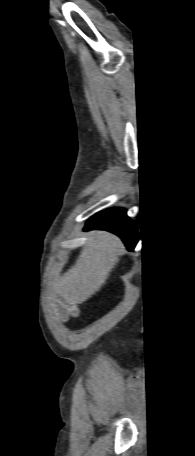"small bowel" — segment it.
Masks as SVG:
<instances>
[{
	"label": "small bowel",
	"instance_id": "obj_1",
	"mask_svg": "<svg viewBox=\"0 0 195 456\" xmlns=\"http://www.w3.org/2000/svg\"><path fill=\"white\" fill-rule=\"evenodd\" d=\"M77 314L76 308L68 302H63L60 304V306L56 310V315L59 319L61 320H66L71 316H74Z\"/></svg>",
	"mask_w": 195,
	"mask_h": 456
}]
</instances>
